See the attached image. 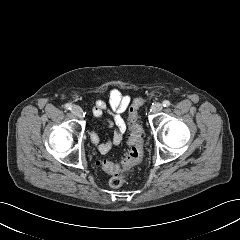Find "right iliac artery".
<instances>
[{
    "instance_id": "right-iliac-artery-1",
    "label": "right iliac artery",
    "mask_w": 240,
    "mask_h": 240,
    "mask_svg": "<svg viewBox=\"0 0 240 240\" xmlns=\"http://www.w3.org/2000/svg\"><path fill=\"white\" fill-rule=\"evenodd\" d=\"M64 108L67 109V110H71L72 105L71 104H65Z\"/></svg>"
}]
</instances>
